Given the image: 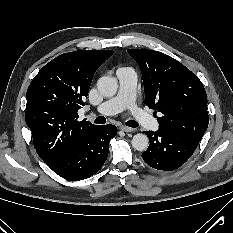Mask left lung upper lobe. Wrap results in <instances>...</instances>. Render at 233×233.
<instances>
[{"label": "left lung upper lobe", "instance_id": "1", "mask_svg": "<svg viewBox=\"0 0 233 233\" xmlns=\"http://www.w3.org/2000/svg\"><path fill=\"white\" fill-rule=\"evenodd\" d=\"M138 63L145 100L159 128L201 140L209 123L207 95L199 78L172 57L153 50L128 49Z\"/></svg>", "mask_w": 233, "mask_h": 233}]
</instances>
